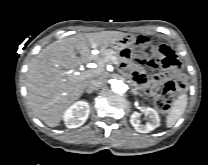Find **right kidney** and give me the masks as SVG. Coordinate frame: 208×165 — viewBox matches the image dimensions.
I'll return each instance as SVG.
<instances>
[{"instance_id":"right-kidney-1","label":"right kidney","mask_w":208,"mask_h":165,"mask_svg":"<svg viewBox=\"0 0 208 165\" xmlns=\"http://www.w3.org/2000/svg\"><path fill=\"white\" fill-rule=\"evenodd\" d=\"M90 113V106L86 101H78L64 112L63 119L67 128H77L85 123Z\"/></svg>"}]
</instances>
